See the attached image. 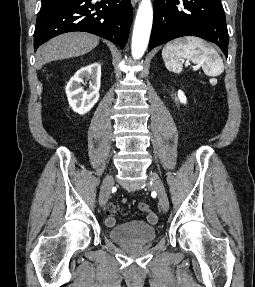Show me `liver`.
Segmentation results:
<instances>
[{
    "mask_svg": "<svg viewBox=\"0 0 255 287\" xmlns=\"http://www.w3.org/2000/svg\"><path fill=\"white\" fill-rule=\"evenodd\" d=\"M99 44V38L85 32H69L62 34L53 40H49L44 46H40L36 52V68L40 70L44 64L64 60V58H76L88 54Z\"/></svg>",
    "mask_w": 255,
    "mask_h": 287,
    "instance_id": "6515ba94",
    "label": "liver"
}]
</instances>
